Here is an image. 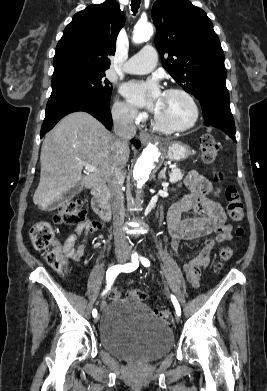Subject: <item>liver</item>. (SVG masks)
I'll return each mask as SVG.
<instances>
[{"instance_id":"obj_1","label":"liver","mask_w":267,"mask_h":391,"mask_svg":"<svg viewBox=\"0 0 267 391\" xmlns=\"http://www.w3.org/2000/svg\"><path fill=\"white\" fill-rule=\"evenodd\" d=\"M114 141L115 137L90 114L79 111L65 116L43 141L34 204L48 206L79 182L90 189L107 181L114 159ZM128 158L129 150L123 154L122 168ZM82 162L97 170L82 177Z\"/></svg>"}]
</instances>
